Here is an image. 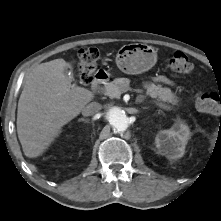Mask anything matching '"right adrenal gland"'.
<instances>
[{
	"mask_svg": "<svg viewBox=\"0 0 221 221\" xmlns=\"http://www.w3.org/2000/svg\"><path fill=\"white\" fill-rule=\"evenodd\" d=\"M79 121L87 122V121H86L85 119H83V118H82V119H80Z\"/></svg>",
	"mask_w": 221,
	"mask_h": 221,
	"instance_id": "right-adrenal-gland-1",
	"label": "right adrenal gland"
}]
</instances>
